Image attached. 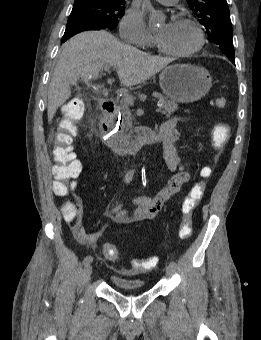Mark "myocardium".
Returning a JSON list of instances; mask_svg holds the SVG:
<instances>
[{"label": "myocardium", "instance_id": "1", "mask_svg": "<svg viewBox=\"0 0 261 340\" xmlns=\"http://www.w3.org/2000/svg\"><path fill=\"white\" fill-rule=\"evenodd\" d=\"M178 22L183 23V24H187L189 26H191L194 31L196 32L197 35V43L196 45L187 51H173V50H169L167 49L159 40L158 37H156V44L158 49L167 55H171V56H175V57H181V58H187V57H192L195 54H197L205 45V34L204 31L202 29V27L199 25V23L191 18H180L178 20Z\"/></svg>", "mask_w": 261, "mask_h": 340}]
</instances>
